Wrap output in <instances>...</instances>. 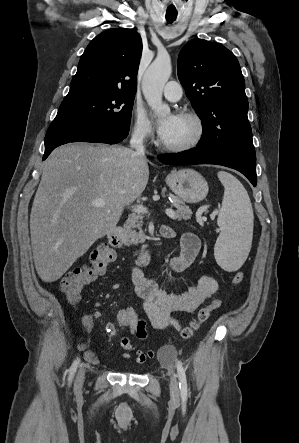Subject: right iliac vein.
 Listing matches in <instances>:
<instances>
[{"label": "right iliac vein", "mask_w": 299, "mask_h": 443, "mask_svg": "<svg viewBox=\"0 0 299 443\" xmlns=\"http://www.w3.org/2000/svg\"><path fill=\"white\" fill-rule=\"evenodd\" d=\"M84 379H85V369L81 368L76 377L75 386L77 388L81 387L83 385Z\"/></svg>", "instance_id": "obj_1"}]
</instances>
